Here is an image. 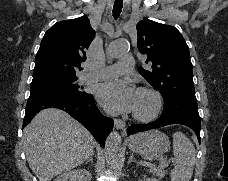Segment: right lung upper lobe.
Segmentation results:
<instances>
[{"instance_id":"1","label":"right lung upper lobe","mask_w":228,"mask_h":181,"mask_svg":"<svg viewBox=\"0 0 228 181\" xmlns=\"http://www.w3.org/2000/svg\"><path fill=\"white\" fill-rule=\"evenodd\" d=\"M94 36L86 16L57 22L41 41L33 79L75 75L82 70L81 62L86 60V50Z\"/></svg>"}]
</instances>
